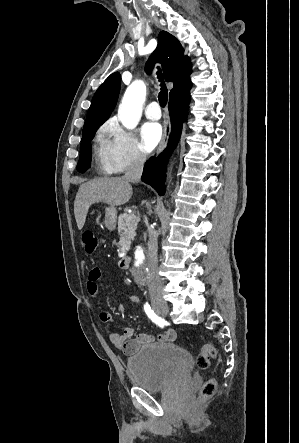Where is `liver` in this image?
I'll return each instance as SVG.
<instances>
[{
	"instance_id": "6515ba94",
	"label": "liver",
	"mask_w": 299,
	"mask_h": 443,
	"mask_svg": "<svg viewBox=\"0 0 299 443\" xmlns=\"http://www.w3.org/2000/svg\"><path fill=\"white\" fill-rule=\"evenodd\" d=\"M132 192V185L123 177L96 178L80 185L74 201V215L78 229L83 228L92 204L121 206L130 200Z\"/></svg>"
}]
</instances>
